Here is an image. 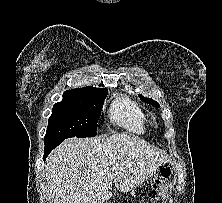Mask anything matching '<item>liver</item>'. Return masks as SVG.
I'll list each match as a JSON object with an SVG mask.
<instances>
[{
  "instance_id": "obj_1",
  "label": "liver",
  "mask_w": 222,
  "mask_h": 203,
  "mask_svg": "<svg viewBox=\"0 0 222 203\" xmlns=\"http://www.w3.org/2000/svg\"><path fill=\"white\" fill-rule=\"evenodd\" d=\"M166 162L161 150L126 133L70 138L47 157L45 179L50 203H104L112 182L130 192Z\"/></svg>"
}]
</instances>
